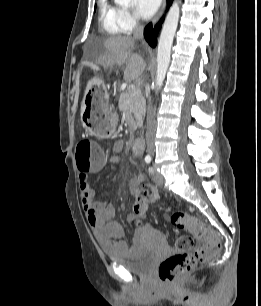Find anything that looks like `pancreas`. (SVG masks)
<instances>
[{"label":"pancreas","mask_w":261,"mask_h":306,"mask_svg":"<svg viewBox=\"0 0 261 306\" xmlns=\"http://www.w3.org/2000/svg\"><path fill=\"white\" fill-rule=\"evenodd\" d=\"M137 93H133L129 88L121 93L119 97V110L127 114H132L135 118V126L142 125L146 104L145 99L139 89Z\"/></svg>","instance_id":"1"}]
</instances>
